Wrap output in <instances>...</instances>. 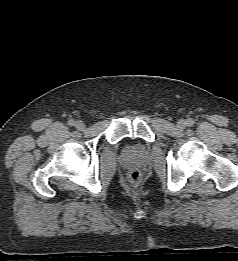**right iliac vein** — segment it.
I'll list each match as a JSON object with an SVG mask.
<instances>
[{
  "mask_svg": "<svg viewBox=\"0 0 238 261\" xmlns=\"http://www.w3.org/2000/svg\"><path fill=\"white\" fill-rule=\"evenodd\" d=\"M75 127L78 129V130H83L85 128V124L83 121H76L75 122Z\"/></svg>",
  "mask_w": 238,
  "mask_h": 261,
  "instance_id": "obj_1",
  "label": "right iliac vein"
}]
</instances>
